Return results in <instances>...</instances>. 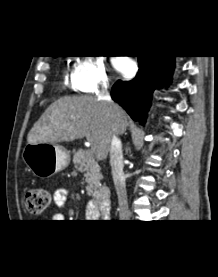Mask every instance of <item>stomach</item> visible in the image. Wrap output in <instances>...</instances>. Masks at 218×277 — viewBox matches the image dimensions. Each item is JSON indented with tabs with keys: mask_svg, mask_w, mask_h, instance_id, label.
Instances as JSON below:
<instances>
[{
	"mask_svg": "<svg viewBox=\"0 0 218 277\" xmlns=\"http://www.w3.org/2000/svg\"><path fill=\"white\" fill-rule=\"evenodd\" d=\"M22 159L29 170L38 177H50L65 169L70 156L63 146L50 143H28L22 152Z\"/></svg>",
	"mask_w": 218,
	"mask_h": 277,
	"instance_id": "stomach-1",
	"label": "stomach"
}]
</instances>
